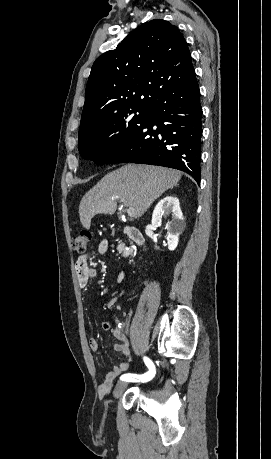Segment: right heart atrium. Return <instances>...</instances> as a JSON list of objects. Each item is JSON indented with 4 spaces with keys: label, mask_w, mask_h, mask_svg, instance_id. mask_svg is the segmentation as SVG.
Here are the masks:
<instances>
[{
    "label": "right heart atrium",
    "mask_w": 271,
    "mask_h": 459,
    "mask_svg": "<svg viewBox=\"0 0 271 459\" xmlns=\"http://www.w3.org/2000/svg\"><path fill=\"white\" fill-rule=\"evenodd\" d=\"M104 143L108 147H113L116 143V138L114 135H108L104 138Z\"/></svg>",
    "instance_id": "d8ad5b80"
}]
</instances>
